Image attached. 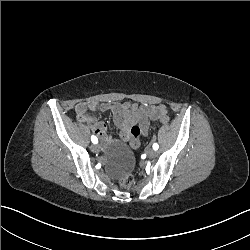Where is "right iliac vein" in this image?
Here are the masks:
<instances>
[{"mask_svg": "<svg viewBox=\"0 0 250 250\" xmlns=\"http://www.w3.org/2000/svg\"><path fill=\"white\" fill-rule=\"evenodd\" d=\"M90 149L93 152H98L99 151V146L97 144H93V145H91Z\"/></svg>", "mask_w": 250, "mask_h": 250, "instance_id": "obj_1", "label": "right iliac vein"}]
</instances>
